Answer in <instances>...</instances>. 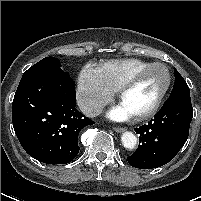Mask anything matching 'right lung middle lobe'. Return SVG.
<instances>
[{
  "label": "right lung middle lobe",
  "instance_id": "dd1d6c3e",
  "mask_svg": "<svg viewBox=\"0 0 201 201\" xmlns=\"http://www.w3.org/2000/svg\"><path fill=\"white\" fill-rule=\"evenodd\" d=\"M61 64L55 57H45L32 67H30L25 73L43 71L51 74H59L69 76L67 72H63L60 68Z\"/></svg>",
  "mask_w": 201,
  "mask_h": 201
}]
</instances>
